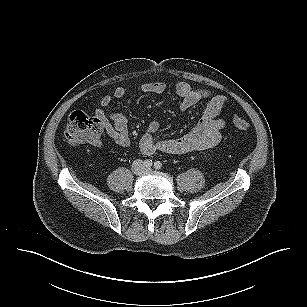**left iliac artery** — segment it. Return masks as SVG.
Segmentation results:
<instances>
[{
    "instance_id": "1",
    "label": "left iliac artery",
    "mask_w": 307,
    "mask_h": 307,
    "mask_svg": "<svg viewBox=\"0 0 307 307\" xmlns=\"http://www.w3.org/2000/svg\"><path fill=\"white\" fill-rule=\"evenodd\" d=\"M154 167H155V169H161L162 163H161L160 161H156V162L154 163Z\"/></svg>"
}]
</instances>
